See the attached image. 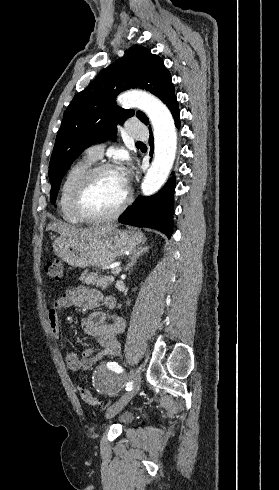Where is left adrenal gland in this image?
<instances>
[{
	"mask_svg": "<svg viewBox=\"0 0 279 490\" xmlns=\"http://www.w3.org/2000/svg\"><path fill=\"white\" fill-rule=\"evenodd\" d=\"M149 246H140L136 252H134L133 256H129V260H131L130 264H128V268H133L135 266L139 256H143L145 252H148Z\"/></svg>",
	"mask_w": 279,
	"mask_h": 490,
	"instance_id": "left-adrenal-gland-1",
	"label": "left adrenal gland"
}]
</instances>
